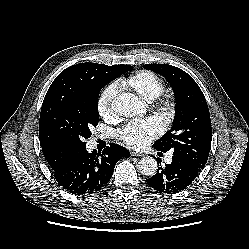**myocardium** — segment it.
Wrapping results in <instances>:
<instances>
[{
    "label": "myocardium",
    "mask_w": 249,
    "mask_h": 249,
    "mask_svg": "<svg viewBox=\"0 0 249 249\" xmlns=\"http://www.w3.org/2000/svg\"><path fill=\"white\" fill-rule=\"evenodd\" d=\"M156 100L158 109L171 116L174 111V98L171 95H159Z\"/></svg>",
    "instance_id": "myocardium-1"
}]
</instances>
